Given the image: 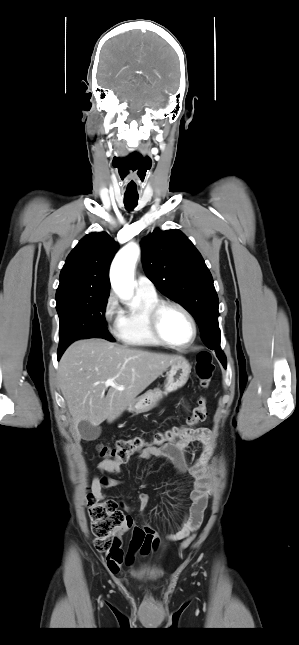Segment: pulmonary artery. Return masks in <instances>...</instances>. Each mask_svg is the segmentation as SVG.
<instances>
[{"label": "pulmonary artery", "mask_w": 299, "mask_h": 645, "mask_svg": "<svg viewBox=\"0 0 299 645\" xmlns=\"http://www.w3.org/2000/svg\"><path fill=\"white\" fill-rule=\"evenodd\" d=\"M136 290L146 294H156L153 282L146 276H139L136 280Z\"/></svg>", "instance_id": "obj_1"}]
</instances>
